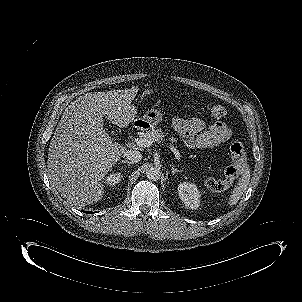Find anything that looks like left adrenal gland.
Segmentation results:
<instances>
[{
  "label": "left adrenal gland",
  "instance_id": "1",
  "mask_svg": "<svg viewBox=\"0 0 302 302\" xmlns=\"http://www.w3.org/2000/svg\"><path fill=\"white\" fill-rule=\"evenodd\" d=\"M171 173L174 175V174H176V173H178V172H181V170H179V169H177V168H175L174 166H171Z\"/></svg>",
  "mask_w": 302,
  "mask_h": 302
}]
</instances>
